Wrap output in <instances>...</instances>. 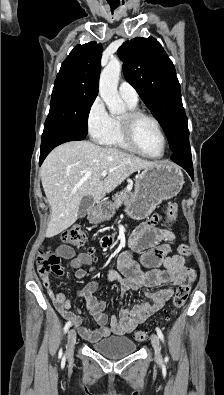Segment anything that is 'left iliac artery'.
<instances>
[{
  "mask_svg": "<svg viewBox=\"0 0 224 395\" xmlns=\"http://www.w3.org/2000/svg\"><path fill=\"white\" fill-rule=\"evenodd\" d=\"M158 337L164 342V335L159 327L156 328Z\"/></svg>",
  "mask_w": 224,
  "mask_h": 395,
  "instance_id": "left-iliac-artery-1",
  "label": "left iliac artery"
}]
</instances>
